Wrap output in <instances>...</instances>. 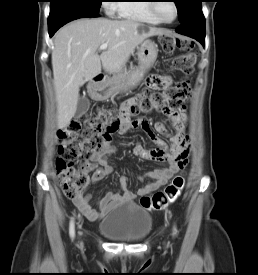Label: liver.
Segmentation results:
<instances>
[{
    "label": "liver",
    "mask_w": 258,
    "mask_h": 275,
    "mask_svg": "<svg viewBox=\"0 0 258 275\" xmlns=\"http://www.w3.org/2000/svg\"><path fill=\"white\" fill-rule=\"evenodd\" d=\"M163 31L137 21L104 18L79 19L62 27L54 37L53 82L57 125L65 128L76 113L80 87L100 74L119 71L136 47ZM108 49L99 56V47Z\"/></svg>",
    "instance_id": "obj_1"
}]
</instances>
